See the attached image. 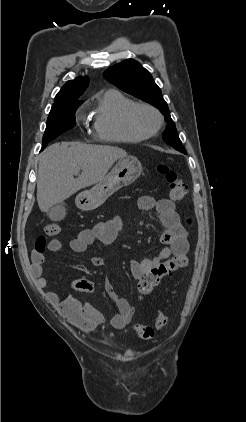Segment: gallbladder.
<instances>
[{
    "label": "gallbladder",
    "mask_w": 246,
    "mask_h": 422,
    "mask_svg": "<svg viewBox=\"0 0 246 422\" xmlns=\"http://www.w3.org/2000/svg\"><path fill=\"white\" fill-rule=\"evenodd\" d=\"M65 215L66 210L63 203H58L48 210V216L53 221H61Z\"/></svg>",
    "instance_id": "obj_1"
}]
</instances>
